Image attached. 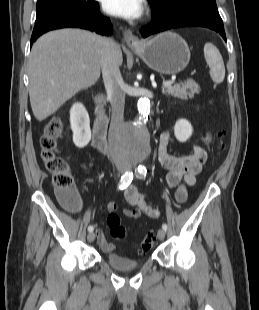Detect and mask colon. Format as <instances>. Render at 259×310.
I'll return each instance as SVG.
<instances>
[{
	"label": "colon",
	"instance_id": "obj_1",
	"mask_svg": "<svg viewBox=\"0 0 259 310\" xmlns=\"http://www.w3.org/2000/svg\"><path fill=\"white\" fill-rule=\"evenodd\" d=\"M63 131V123L60 119L51 120L41 137L42 159L46 168L53 175V183L57 190V195L65 207L75 210L80 206V197L74 189V179L69 166L64 158L56 154L57 138ZM223 132L219 133L222 138ZM222 147V141L220 143ZM107 226L111 236L116 240H124L126 238V229L122 225L121 218L117 213L110 212L107 216ZM156 243L153 234L147 235L140 244V252L142 254L150 251Z\"/></svg>",
	"mask_w": 259,
	"mask_h": 310
}]
</instances>
